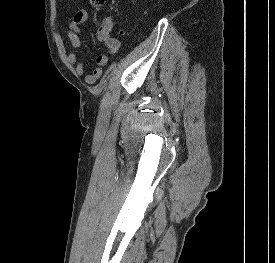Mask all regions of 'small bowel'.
<instances>
[{
  "label": "small bowel",
  "mask_w": 275,
  "mask_h": 263,
  "mask_svg": "<svg viewBox=\"0 0 275 263\" xmlns=\"http://www.w3.org/2000/svg\"><path fill=\"white\" fill-rule=\"evenodd\" d=\"M89 14L85 9L78 10L72 21L68 25L67 36L70 41V45L73 49H78L81 46V26L88 20ZM112 22L108 21L104 23L97 32V38L99 41L103 42L111 54H116L121 48L120 41L114 37L111 33ZM68 62L75 66V72L78 76L84 75V64L79 59L76 52H71L68 55ZM108 58L104 54H100L96 57V66L85 74L84 79L87 84H94L101 76L103 72V67L107 66Z\"/></svg>",
  "instance_id": "small-bowel-1"
}]
</instances>
